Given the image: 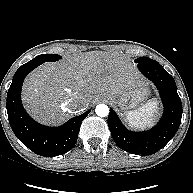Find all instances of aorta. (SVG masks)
Returning <instances> with one entry per match:
<instances>
[{
  "mask_svg": "<svg viewBox=\"0 0 193 193\" xmlns=\"http://www.w3.org/2000/svg\"><path fill=\"white\" fill-rule=\"evenodd\" d=\"M95 112L100 117H106L109 114V108L105 104H99L96 106Z\"/></svg>",
  "mask_w": 193,
  "mask_h": 193,
  "instance_id": "obj_1",
  "label": "aorta"
}]
</instances>
